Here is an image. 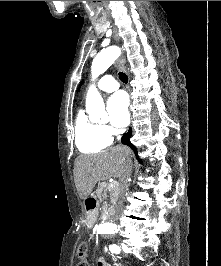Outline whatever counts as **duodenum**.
<instances>
[{
    "mask_svg": "<svg viewBox=\"0 0 221 266\" xmlns=\"http://www.w3.org/2000/svg\"><path fill=\"white\" fill-rule=\"evenodd\" d=\"M86 210L88 213V223L89 225H93L95 222L96 216V200L94 197H88L86 199ZM107 215L108 216H115L116 215V208L115 207H108L107 208Z\"/></svg>",
    "mask_w": 221,
    "mask_h": 266,
    "instance_id": "410a0bca",
    "label": "duodenum"
}]
</instances>
